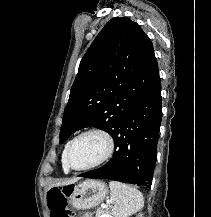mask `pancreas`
I'll use <instances>...</instances> for the list:
<instances>
[{"label": "pancreas", "mask_w": 211, "mask_h": 217, "mask_svg": "<svg viewBox=\"0 0 211 217\" xmlns=\"http://www.w3.org/2000/svg\"><path fill=\"white\" fill-rule=\"evenodd\" d=\"M104 213H106V210L97 208V210H96V217H102V215H103Z\"/></svg>", "instance_id": "obj_1"}]
</instances>
